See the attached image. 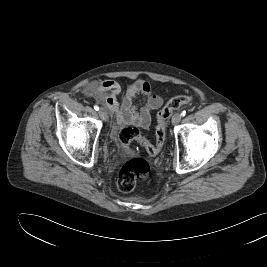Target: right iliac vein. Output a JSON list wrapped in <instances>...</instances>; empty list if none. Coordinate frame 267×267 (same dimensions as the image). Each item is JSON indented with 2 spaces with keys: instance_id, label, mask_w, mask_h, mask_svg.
I'll list each match as a JSON object with an SVG mask.
<instances>
[{
  "instance_id": "obj_1",
  "label": "right iliac vein",
  "mask_w": 267,
  "mask_h": 267,
  "mask_svg": "<svg viewBox=\"0 0 267 267\" xmlns=\"http://www.w3.org/2000/svg\"><path fill=\"white\" fill-rule=\"evenodd\" d=\"M99 116L103 119V120H107L108 119V113L105 109L101 108L99 110Z\"/></svg>"
}]
</instances>
